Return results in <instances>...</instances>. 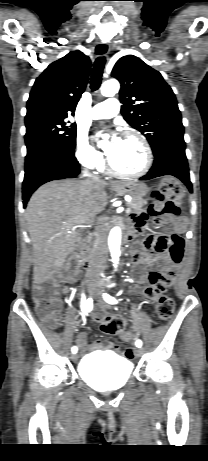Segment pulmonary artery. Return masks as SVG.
<instances>
[{
    "mask_svg": "<svg viewBox=\"0 0 208 461\" xmlns=\"http://www.w3.org/2000/svg\"><path fill=\"white\" fill-rule=\"evenodd\" d=\"M119 112V101L115 98H109L102 103L95 105L90 111L92 119H108Z\"/></svg>",
    "mask_w": 208,
    "mask_h": 461,
    "instance_id": "pulmonary-artery-1",
    "label": "pulmonary artery"
}]
</instances>
